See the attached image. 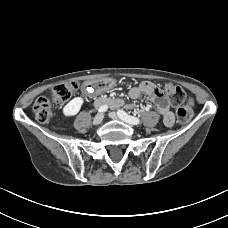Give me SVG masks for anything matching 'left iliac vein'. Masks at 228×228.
<instances>
[{"instance_id": "4c4485c4", "label": "left iliac vein", "mask_w": 228, "mask_h": 228, "mask_svg": "<svg viewBox=\"0 0 228 228\" xmlns=\"http://www.w3.org/2000/svg\"><path fill=\"white\" fill-rule=\"evenodd\" d=\"M109 117L114 120L120 119L119 116L115 112H110ZM124 121V120H123ZM128 123V122H127Z\"/></svg>"}]
</instances>
